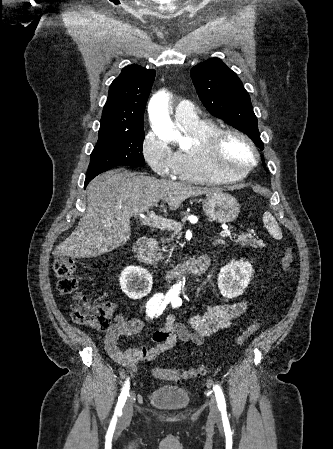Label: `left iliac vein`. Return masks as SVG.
Here are the masks:
<instances>
[{"mask_svg":"<svg viewBox=\"0 0 333 449\" xmlns=\"http://www.w3.org/2000/svg\"><path fill=\"white\" fill-rule=\"evenodd\" d=\"M209 419L212 421H219L220 420V412L218 409V405L216 402V399L211 397L210 399V413H209Z\"/></svg>","mask_w":333,"mask_h":449,"instance_id":"4c4485c4","label":"left iliac vein"}]
</instances>
